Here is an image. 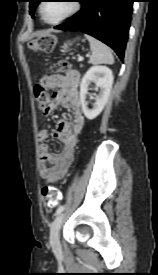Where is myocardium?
Returning <instances> with one entry per match:
<instances>
[{"mask_svg": "<svg viewBox=\"0 0 158 275\" xmlns=\"http://www.w3.org/2000/svg\"><path fill=\"white\" fill-rule=\"evenodd\" d=\"M45 2H42L39 6V14L41 19L50 25H56V24H60L61 22L71 18L72 16H74L76 13L79 12L80 8H81V3L79 0H73L72 1V8L71 10L63 17H61L60 19L56 20V21H48L45 19L44 15H43V7H44Z\"/></svg>", "mask_w": 158, "mask_h": 275, "instance_id": "1", "label": "myocardium"}]
</instances>
